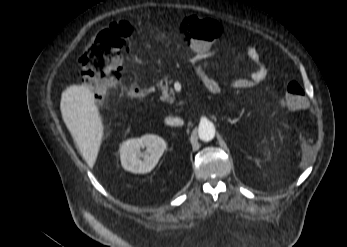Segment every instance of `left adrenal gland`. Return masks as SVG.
I'll list each match as a JSON object with an SVG mask.
<instances>
[{
    "mask_svg": "<svg viewBox=\"0 0 347 247\" xmlns=\"http://www.w3.org/2000/svg\"><path fill=\"white\" fill-rule=\"evenodd\" d=\"M240 117L234 118L233 120L231 118H228V122L231 124H235L237 121H239Z\"/></svg>",
    "mask_w": 347,
    "mask_h": 247,
    "instance_id": "1",
    "label": "left adrenal gland"
}]
</instances>
